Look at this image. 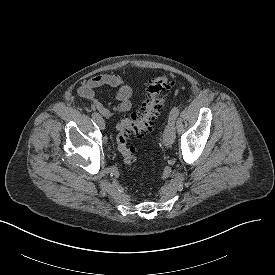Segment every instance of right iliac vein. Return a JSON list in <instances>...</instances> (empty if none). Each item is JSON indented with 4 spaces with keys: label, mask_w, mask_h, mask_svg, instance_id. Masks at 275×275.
Listing matches in <instances>:
<instances>
[{
    "label": "right iliac vein",
    "mask_w": 275,
    "mask_h": 275,
    "mask_svg": "<svg viewBox=\"0 0 275 275\" xmlns=\"http://www.w3.org/2000/svg\"><path fill=\"white\" fill-rule=\"evenodd\" d=\"M97 125L99 126L100 129H104L105 128V122L104 119L102 117L99 116V118L96 120Z\"/></svg>",
    "instance_id": "right-iliac-vein-1"
}]
</instances>
